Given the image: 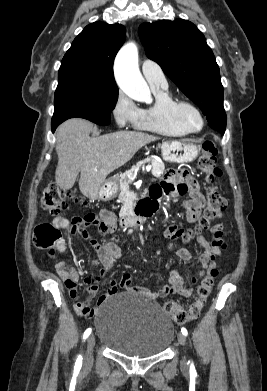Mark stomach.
Wrapping results in <instances>:
<instances>
[{"mask_svg":"<svg viewBox=\"0 0 267 391\" xmlns=\"http://www.w3.org/2000/svg\"><path fill=\"white\" fill-rule=\"evenodd\" d=\"M199 147L190 142H170L161 146L162 157L165 161L184 164L195 160L199 154ZM118 192L115 179L105 181L98 189L97 198L107 200Z\"/></svg>","mask_w":267,"mask_h":391,"instance_id":"0dacf381","label":"stomach"}]
</instances>
